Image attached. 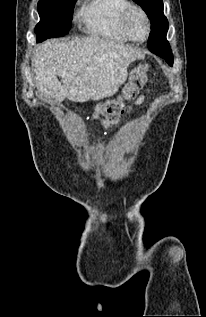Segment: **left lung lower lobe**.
<instances>
[{"mask_svg":"<svg viewBox=\"0 0 206 317\" xmlns=\"http://www.w3.org/2000/svg\"><path fill=\"white\" fill-rule=\"evenodd\" d=\"M147 47L152 53L164 58L165 60H167L172 54L170 45L167 41H155L153 44L149 43Z\"/></svg>","mask_w":206,"mask_h":317,"instance_id":"obj_1","label":"left lung lower lobe"}]
</instances>
